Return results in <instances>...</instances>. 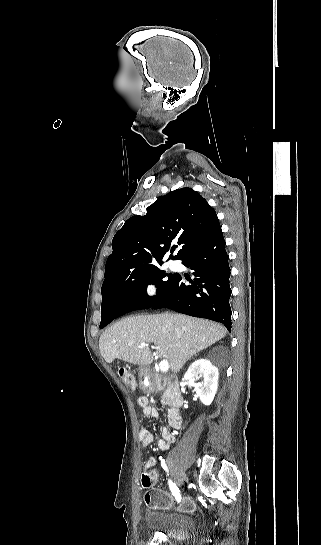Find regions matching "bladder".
Here are the masks:
<instances>
[{
	"label": "bladder",
	"mask_w": 321,
	"mask_h": 545,
	"mask_svg": "<svg viewBox=\"0 0 321 545\" xmlns=\"http://www.w3.org/2000/svg\"><path fill=\"white\" fill-rule=\"evenodd\" d=\"M143 522L147 528L160 532L174 542L188 540L194 529L192 516L179 509H148L143 515Z\"/></svg>",
	"instance_id": "31cf9c89"
}]
</instances>
